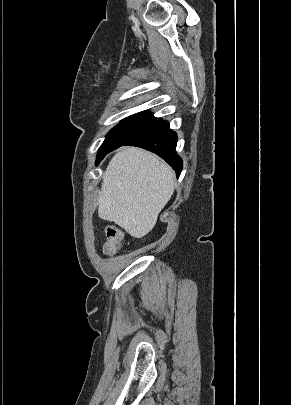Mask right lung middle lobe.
<instances>
[{"instance_id": "right-lung-middle-lobe-1", "label": "right lung middle lobe", "mask_w": 291, "mask_h": 405, "mask_svg": "<svg viewBox=\"0 0 291 405\" xmlns=\"http://www.w3.org/2000/svg\"><path fill=\"white\" fill-rule=\"evenodd\" d=\"M162 119L153 117L149 112H140L124 119L106 136L97 154V163L109 152L123 146L126 142L159 123Z\"/></svg>"}]
</instances>
